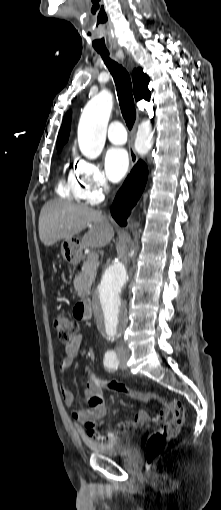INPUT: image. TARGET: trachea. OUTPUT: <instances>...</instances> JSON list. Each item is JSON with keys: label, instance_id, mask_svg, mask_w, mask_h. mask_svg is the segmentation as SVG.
<instances>
[{"label": "trachea", "instance_id": "obj_1", "mask_svg": "<svg viewBox=\"0 0 221 510\" xmlns=\"http://www.w3.org/2000/svg\"><path fill=\"white\" fill-rule=\"evenodd\" d=\"M98 53L113 76L123 118L128 128L132 129L136 119V109L129 73L121 65L112 60L108 52L98 51Z\"/></svg>", "mask_w": 221, "mask_h": 510}]
</instances>
